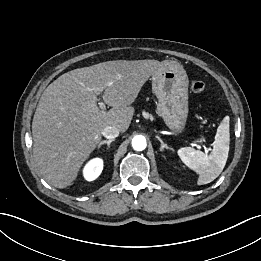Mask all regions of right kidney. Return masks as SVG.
Instances as JSON below:
<instances>
[{
    "instance_id": "right-kidney-1",
    "label": "right kidney",
    "mask_w": 261,
    "mask_h": 261,
    "mask_svg": "<svg viewBox=\"0 0 261 261\" xmlns=\"http://www.w3.org/2000/svg\"><path fill=\"white\" fill-rule=\"evenodd\" d=\"M103 160L100 158H95L90 160L83 169V175L86 180H95L102 172Z\"/></svg>"
}]
</instances>
